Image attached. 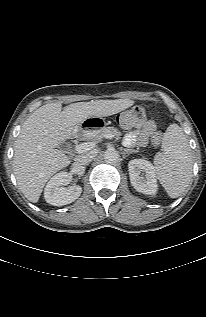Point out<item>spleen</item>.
Masks as SVG:
<instances>
[{"instance_id":"spleen-1","label":"spleen","mask_w":206,"mask_h":317,"mask_svg":"<svg viewBox=\"0 0 206 317\" xmlns=\"http://www.w3.org/2000/svg\"><path fill=\"white\" fill-rule=\"evenodd\" d=\"M156 176L167 194L177 198L188 187L192 178L193 159L183 129L170 125L162 140V152L154 159Z\"/></svg>"}]
</instances>
